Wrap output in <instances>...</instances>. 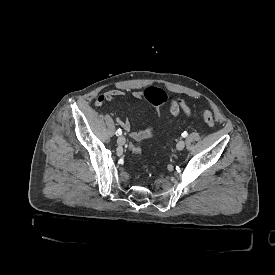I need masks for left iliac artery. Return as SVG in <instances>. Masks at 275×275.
Here are the masks:
<instances>
[{
    "label": "left iliac artery",
    "mask_w": 275,
    "mask_h": 275,
    "mask_svg": "<svg viewBox=\"0 0 275 275\" xmlns=\"http://www.w3.org/2000/svg\"><path fill=\"white\" fill-rule=\"evenodd\" d=\"M187 135H188V133H187L186 131H184V132L181 134V136H182L183 138L187 137Z\"/></svg>",
    "instance_id": "44dca946"
}]
</instances>
